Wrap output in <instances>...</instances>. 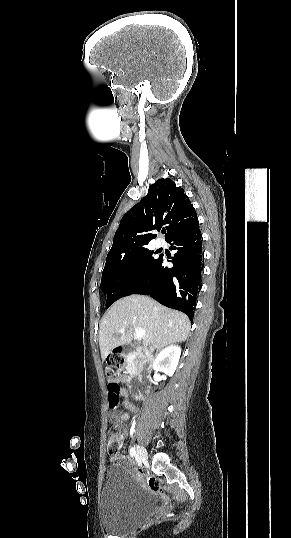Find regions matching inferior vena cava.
Segmentation results:
<instances>
[{
    "label": "inferior vena cava",
    "mask_w": 291,
    "mask_h": 538,
    "mask_svg": "<svg viewBox=\"0 0 291 538\" xmlns=\"http://www.w3.org/2000/svg\"><path fill=\"white\" fill-rule=\"evenodd\" d=\"M150 350H151V351H153V348H152V347H150Z\"/></svg>",
    "instance_id": "602c4592"
}]
</instances>
